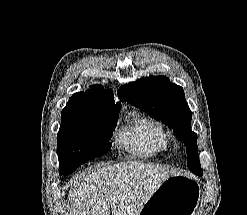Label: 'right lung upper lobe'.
<instances>
[{
	"mask_svg": "<svg viewBox=\"0 0 247 215\" xmlns=\"http://www.w3.org/2000/svg\"><path fill=\"white\" fill-rule=\"evenodd\" d=\"M91 90L86 92L75 93L71 98L81 104L93 108L101 109L107 112H119L121 103L114 101V94L106 90L102 85H93Z\"/></svg>",
	"mask_w": 247,
	"mask_h": 215,
	"instance_id": "cb5924a9",
	"label": "right lung upper lobe"
}]
</instances>
